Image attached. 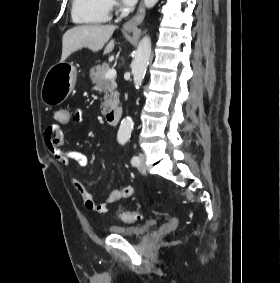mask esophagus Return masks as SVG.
I'll use <instances>...</instances> for the list:
<instances>
[{
  "instance_id": "obj_1",
  "label": "esophagus",
  "mask_w": 280,
  "mask_h": 283,
  "mask_svg": "<svg viewBox=\"0 0 280 283\" xmlns=\"http://www.w3.org/2000/svg\"><path fill=\"white\" fill-rule=\"evenodd\" d=\"M144 16H145V7H144V2L141 1L137 13L123 25V29L127 31L137 29L138 25L141 24V22L143 21Z\"/></svg>"
}]
</instances>
